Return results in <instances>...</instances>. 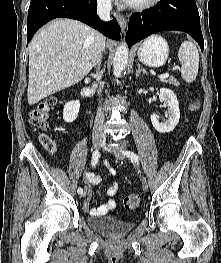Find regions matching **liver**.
<instances>
[{
  "label": "liver",
  "mask_w": 221,
  "mask_h": 263,
  "mask_svg": "<svg viewBox=\"0 0 221 263\" xmlns=\"http://www.w3.org/2000/svg\"><path fill=\"white\" fill-rule=\"evenodd\" d=\"M99 35L72 19H56L41 29L29 44L28 104L80 82L97 59Z\"/></svg>",
  "instance_id": "1"
}]
</instances>
